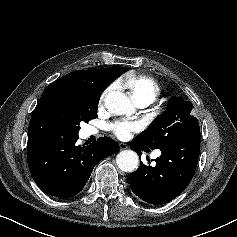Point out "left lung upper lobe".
<instances>
[{"instance_id":"left-lung-upper-lobe-1","label":"left lung upper lobe","mask_w":237,"mask_h":237,"mask_svg":"<svg viewBox=\"0 0 237 237\" xmlns=\"http://www.w3.org/2000/svg\"><path fill=\"white\" fill-rule=\"evenodd\" d=\"M193 104L180 97L172 98L168 109L159 115L147 130L136 140L147 148L160 149L180 142L195 126L198 119L193 116Z\"/></svg>"}]
</instances>
